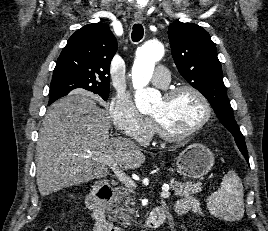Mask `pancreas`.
Returning a JSON list of instances; mask_svg holds the SVG:
<instances>
[{"instance_id": "1", "label": "pancreas", "mask_w": 268, "mask_h": 231, "mask_svg": "<svg viewBox=\"0 0 268 231\" xmlns=\"http://www.w3.org/2000/svg\"><path fill=\"white\" fill-rule=\"evenodd\" d=\"M170 187L174 191L175 196H190L201 192L202 183L200 182H180L175 179L170 180ZM132 187H118L114 190L113 198L108 203L107 211L110 221L118 222L121 225L127 223L129 214L132 213L130 209V201L133 200L131 193ZM128 207V208H126Z\"/></svg>"}]
</instances>
